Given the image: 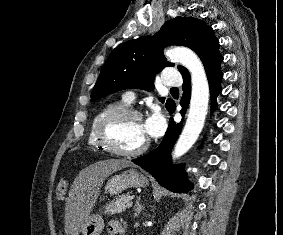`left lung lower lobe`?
Listing matches in <instances>:
<instances>
[{"instance_id":"obj_1","label":"left lung lower lobe","mask_w":283,"mask_h":235,"mask_svg":"<svg viewBox=\"0 0 283 235\" xmlns=\"http://www.w3.org/2000/svg\"><path fill=\"white\" fill-rule=\"evenodd\" d=\"M206 74L210 86L212 108L214 109L216 107V97L221 92L220 81L223 78L220 63L206 70ZM183 90V98L180 102L183 109L180 113L184 117L191 95L190 76L183 78ZM174 110L175 104L170 110V113H173ZM181 130L182 122L176 124L172 119H170L168 130L166 131L164 139L159 147L148 155L132 160V162L151 173L160 185L176 193L187 192L192 189L191 184L188 182L183 165L172 166L170 158L171 150Z\"/></svg>"}]
</instances>
